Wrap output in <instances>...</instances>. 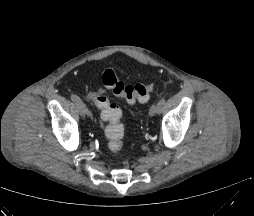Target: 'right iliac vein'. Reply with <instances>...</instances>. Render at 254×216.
<instances>
[{"mask_svg":"<svg viewBox=\"0 0 254 216\" xmlns=\"http://www.w3.org/2000/svg\"><path fill=\"white\" fill-rule=\"evenodd\" d=\"M76 108H77L78 114L81 117L84 118L87 115L86 108L83 105L76 104Z\"/></svg>","mask_w":254,"mask_h":216,"instance_id":"63e3f726","label":"right iliac vein"}]
</instances>
